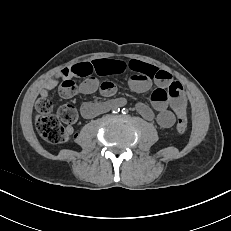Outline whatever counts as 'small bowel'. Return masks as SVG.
Segmentation results:
<instances>
[{
  "instance_id": "obj_1",
  "label": "small bowel",
  "mask_w": 231,
  "mask_h": 231,
  "mask_svg": "<svg viewBox=\"0 0 231 231\" xmlns=\"http://www.w3.org/2000/svg\"><path fill=\"white\" fill-rule=\"evenodd\" d=\"M126 70L131 72L128 84L133 91L142 93L154 86L151 106L143 103L136 106L144 118L156 120L162 128H170L174 125L176 118L186 116L187 101L182 85L167 71L138 60L126 63L121 60L98 59L65 68L44 83L36 107L41 101L48 99L49 92L57 86L60 79L73 75L84 78L79 86L80 93L91 94L100 90L102 95L111 96L116 92L114 83L111 81L100 83L97 77L121 74ZM112 102L115 105H121L123 100L117 99ZM109 107L106 102H85L80 108V113L84 118H93ZM67 131L71 133L72 128L68 127Z\"/></svg>"
}]
</instances>
